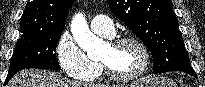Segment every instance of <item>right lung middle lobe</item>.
I'll use <instances>...</instances> for the list:
<instances>
[{
    "instance_id": "obj_1",
    "label": "right lung middle lobe",
    "mask_w": 205,
    "mask_h": 87,
    "mask_svg": "<svg viewBox=\"0 0 205 87\" xmlns=\"http://www.w3.org/2000/svg\"><path fill=\"white\" fill-rule=\"evenodd\" d=\"M61 31L23 33L13 53L9 73L25 68L59 70L55 55Z\"/></svg>"
}]
</instances>
